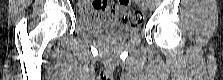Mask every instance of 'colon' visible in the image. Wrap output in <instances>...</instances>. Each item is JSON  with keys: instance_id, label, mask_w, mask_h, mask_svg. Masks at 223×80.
<instances>
[{"instance_id": "5ec220e1", "label": "colon", "mask_w": 223, "mask_h": 80, "mask_svg": "<svg viewBox=\"0 0 223 80\" xmlns=\"http://www.w3.org/2000/svg\"><path fill=\"white\" fill-rule=\"evenodd\" d=\"M120 9L122 20L130 25H138L142 22L143 16L138 10H129V1L120 0L117 2Z\"/></svg>"}]
</instances>
